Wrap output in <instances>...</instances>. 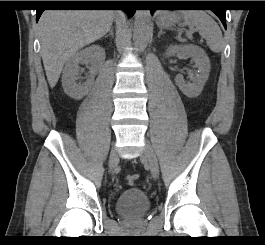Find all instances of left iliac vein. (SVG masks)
Instances as JSON below:
<instances>
[{
  "label": "left iliac vein",
  "mask_w": 265,
  "mask_h": 245,
  "mask_svg": "<svg viewBox=\"0 0 265 245\" xmlns=\"http://www.w3.org/2000/svg\"><path fill=\"white\" fill-rule=\"evenodd\" d=\"M142 158H145L148 161L151 174L156 179L159 175L158 160H157V157H156V154L154 152L152 145L148 141H146V144H145V147L142 153Z\"/></svg>",
  "instance_id": "left-iliac-vein-1"
}]
</instances>
